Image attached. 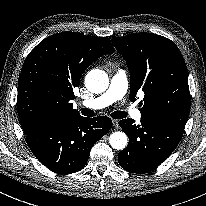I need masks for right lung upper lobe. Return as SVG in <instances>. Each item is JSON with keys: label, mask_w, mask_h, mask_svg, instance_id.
I'll list each match as a JSON object with an SVG mask.
<instances>
[{"label": "right lung upper lobe", "mask_w": 206, "mask_h": 206, "mask_svg": "<svg viewBox=\"0 0 206 206\" xmlns=\"http://www.w3.org/2000/svg\"><path fill=\"white\" fill-rule=\"evenodd\" d=\"M114 49L107 37L54 34L27 56L19 77L17 107L25 134L81 117L73 89L85 69Z\"/></svg>", "instance_id": "1"}]
</instances>
